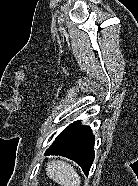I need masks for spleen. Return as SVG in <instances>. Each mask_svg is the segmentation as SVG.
Segmentation results:
<instances>
[{"mask_svg":"<svg viewBox=\"0 0 138 186\" xmlns=\"http://www.w3.org/2000/svg\"><path fill=\"white\" fill-rule=\"evenodd\" d=\"M46 174L61 186H80L81 183L80 177L73 166L61 160L48 162Z\"/></svg>","mask_w":138,"mask_h":186,"instance_id":"spleen-1","label":"spleen"}]
</instances>
